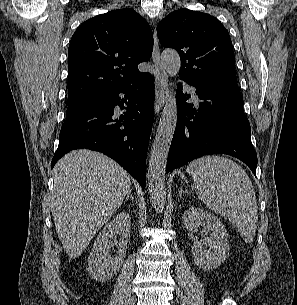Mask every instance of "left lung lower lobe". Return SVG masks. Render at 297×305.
<instances>
[{
  "label": "left lung lower lobe",
  "instance_id": "left-lung-lower-lobe-1",
  "mask_svg": "<svg viewBox=\"0 0 297 305\" xmlns=\"http://www.w3.org/2000/svg\"><path fill=\"white\" fill-rule=\"evenodd\" d=\"M199 106L186 103L191 96L178 85L177 125L171 142L167 173L208 154H228L246 163L256 176L257 154L243 110L236 80L196 85Z\"/></svg>",
  "mask_w": 297,
  "mask_h": 305
}]
</instances>
